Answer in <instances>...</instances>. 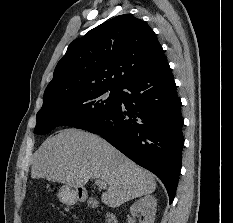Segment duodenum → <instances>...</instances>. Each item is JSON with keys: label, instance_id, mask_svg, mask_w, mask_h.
Listing matches in <instances>:
<instances>
[{"label": "duodenum", "instance_id": "1", "mask_svg": "<svg viewBox=\"0 0 233 223\" xmlns=\"http://www.w3.org/2000/svg\"><path fill=\"white\" fill-rule=\"evenodd\" d=\"M78 199L80 201L86 202L88 207L93 210H98V211L101 210L98 200L93 197H89L87 193L84 191H80L78 193ZM103 217H104L105 223H118L117 218L111 213L103 212Z\"/></svg>", "mask_w": 233, "mask_h": 223}]
</instances>
